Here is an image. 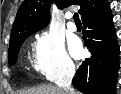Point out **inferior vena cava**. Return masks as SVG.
Listing matches in <instances>:
<instances>
[{
	"label": "inferior vena cava",
	"instance_id": "1",
	"mask_svg": "<svg viewBox=\"0 0 121 94\" xmlns=\"http://www.w3.org/2000/svg\"><path fill=\"white\" fill-rule=\"evenodd\" d=\"M75 74V66L72 62L67 63L64 69V78L59 87L63 90L64 94H74V90L71 87V82Z\"/></svg>",
	"mask_w": 121,
	"mask_h": 94
}]
</instances>
